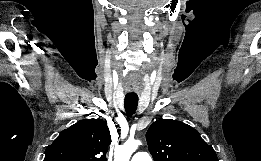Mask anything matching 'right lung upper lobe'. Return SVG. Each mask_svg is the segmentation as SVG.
<instances>
[{
  "mask_svg": "<svg viewBox=\"0 0 261 161\" xmlns=\"http://www.w3.org/2000/svg\"><path fill=\"white\" fill-rule=\"evenodd\" d=\"M110 142L107 121L80 120L46 148L44 161H106Z\"/></svg>",
  "mask_w": 261,
  "mask_h": 161,
  "instance_id": "cb5924a9",
  "label": "right lung upper lobe"
}]
</instances>
